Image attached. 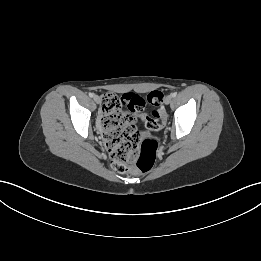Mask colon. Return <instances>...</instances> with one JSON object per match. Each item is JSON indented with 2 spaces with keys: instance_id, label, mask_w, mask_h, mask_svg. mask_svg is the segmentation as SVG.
<instances>
[{
  "instance_id": "1",
  "label": "colon",
  "mask_w": 261,
  "mask_h": 261,
  "mask_svg": "<svg viewBox=\"0 0 261 261\" xmlns=\"http://www.w3.org/2000/svg\"><path fill=\"white\" fill-rule=\"evenodd\" d=\"M163 101V93L155 90L145 97L128 93L125 96L129 111L139 116L147 104L159 106ZM102 135L110 155L111 167L118 173L129 170L149 171L157 156L158 143L152 137L140 138L139 132L131 122L129 114L122 111L121 99L113 93L102 96ZM140 121L149 130L161 131L168 124L165 111L159 108L152 113L140 115Z\"/></svg>"
}]
</instances>
